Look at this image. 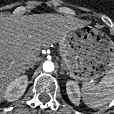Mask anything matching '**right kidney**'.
Wrapping results in <instances>:
<instances>
[{
	"instance_id": "1",
	"label": "right kidney",
	"mask_w": 114,
	"mask_h": 114,
	"mask_svg": "<svg viewBox=\"0 0 114 114\" xmlns=\"http://www.w3.org/2000/svg\"><path fill=\"white\" fill-rule=\"evenodd\" d=\"M27 85L28 77L26 75H21L15 78L6 87L4 92V99L8 102L18 100L26 91Z\"/></svg>"
}]
</instances>
